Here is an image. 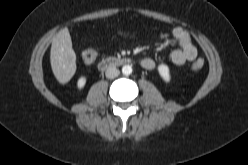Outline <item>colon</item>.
I'll use <instances>...</instances> for the list:
<instances>
[{
  "mask_svg": "<svg viewBox=\"0 0 248 165\" xmlns=\"http://www.w3.org/2000/svg\"><path fill=\"white\" fill-rule=\"evenodd\" d=\"M82 58H83L84 62H86V63H92L97 58V52L94 49H92V48H88V49H86V50L83 51ZM203 66H204V61L202 59H197L192 64V69L194 71H199V70H201L203 68Z\"/></svg>",
  "mask_w": 248,
  "mask_h": 165,
  "instance_id": "5ec220e1",
  "label": "colon"
}]
</instances>
